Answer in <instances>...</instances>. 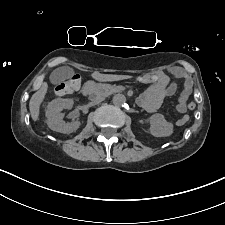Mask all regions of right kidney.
<instances>
[{"instance_id": "obj_1", "label": "right kidney", "mask_w": 225, "mask_h": 225, "mask_svg": "<svg viewBox=\"0 0 225 225\" xmlns=\"http://www.w3.org/2000/svg\"><path fill=\"white\" fill-rule=\"evenodd\" d=\"M74 101L71 98H58L49 103L46 109L47 125L56 132L70 134L75 132L80 127L79 121L71 123H63L64 115L61 113L63 109H71Z\"/></svg>"}]
</instances>
